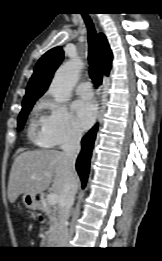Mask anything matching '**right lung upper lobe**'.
Wrapping results in <instances>:
<instances>
[{
  "instance_id": "obj_1",
  "label": "right lung upper lobe",
  "mask_w": 162,
  "mask_h": 261,
  "mask_svg": "<svg viewBox=\"0 0 162 261\" xmlns=\"http://www.w3.org/2000/svg\"><path fill=\"white\" fill-rule=\"evenodd\" d=\"M102 72L108 76L112 67V52L104 34H98ZM64 57L61 47H55L46 52L37 62L34 73L30 78L23 101L39 98L47 89Z\"/></svg>"
}]
</instances>
